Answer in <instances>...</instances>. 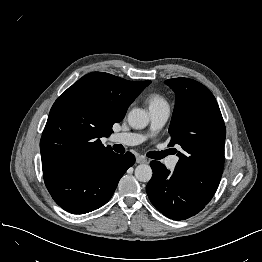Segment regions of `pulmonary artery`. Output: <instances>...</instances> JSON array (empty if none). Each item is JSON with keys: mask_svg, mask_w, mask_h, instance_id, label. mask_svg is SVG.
I'll return each mask as SVG.
<instances>
[{"mask_svg": "<svg viewBox=\"0 0 262 262\" xmlns=\"http://www.w3.org/2000/svg\"><path fill=\"white\" fill-rule=\"evenodd\" d=\"M151 130L156 131L161 129L167 122L170 115V108L167 104L152 106L149 108ZM147 136L140 133L124 132L117 133L111 137L115 143H121L127 146L139 145L146 140ZM177 163L176 158H168L166 165L173 169Z\"/></svg>", "mask_w": 262, "mask_h": 262, "instance_id": "1", "label": "pulmonary artery"}]
</instances>
